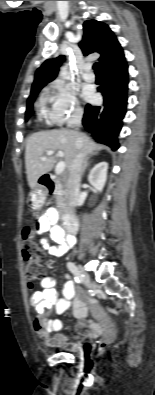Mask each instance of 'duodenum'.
<instances>
[{
    "mask_svg": "<svg viewBox=\"0 0 155 395\" xmlns=\"http://www.w3.org/2000/svg\"><path fill=\"white\" fill-rule=\"evenodd\" d=\"M44 185L49 189L53 188V182L49 177H46ZM63 225L68 233L74 234L78 230L79 221L74 215L68 214L63 218Z\"/></svg>",
    "mask_w": 155,
    "mask_h": 395,
    "instance_id": "410a0bca",
    "label": "duodenum"
}]
</instances>
